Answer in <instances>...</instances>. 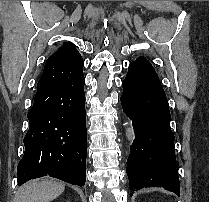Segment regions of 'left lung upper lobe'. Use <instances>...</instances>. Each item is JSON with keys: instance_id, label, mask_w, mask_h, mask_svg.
I'll use <instances>...</instances> for the list:
<instances>
[{"instance_id": "obj_1", "label": "left lung upper lobe", "mask_w": 209, "mask_h": 202, "mask_svg": "<svg viewBox=\"0 0 209 202\" xmlns=\"http://www.w3.org/2000/svg\"><path fill=\"white\" fill-rule=\"evenodd\" d=\"M133 63H137V64L143 65L149 69L154 70L153 66L150 64V62L144 56L138 57L135 61H133Z\"/></svg>"}]
</instances>
